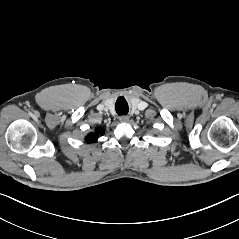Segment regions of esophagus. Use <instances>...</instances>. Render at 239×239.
<instances>
[{"label": "esophagus", "mask_w": 239, "mask_h": 239, "mask_svg": "<svg viewBox=\"0 0 239 239\" xmlns=\"http://www.w3.org/2000/svg\"><path fill=\"white\" fill-rule=\"evenodd\" d=\"M119 120H120V122H128L129 117L128 116H120Z\"/></svg>", "instance_id": "esophagus-1"}]
</instances>
